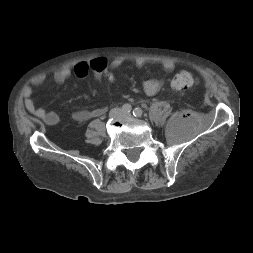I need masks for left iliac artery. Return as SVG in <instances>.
<instances>
[{
    "mask_svg": "<svg viewBox=\"0 0 253 253\" xmlns=\"http://www.w3.org/2000/svg\"><path fill=\"white\" fill-rule=\"evenodd\" d=\"M142 114H143V111H142V109H140V108H135V109L133 110V115H134L135 117H141Z\"/></svg>",
    "mask_w": 253,
    "mask_h": 253,
    "instance_id": "left-iliac-artery-1",
    "label": "left iliac artery"
}]
</instances>
